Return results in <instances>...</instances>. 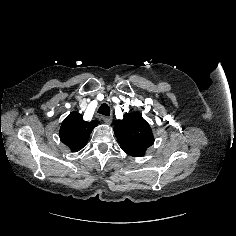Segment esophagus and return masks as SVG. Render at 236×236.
Instances as JSON below:
<instances>
[{
    "instance_id": "esophagus-1",
    "label": "esophagus",
    "mask_w": 236,
    "mask_h": 236,
    "mask_svg": "<svg viewBox=\"0 0 236 236\" xmlns=\"http://www.w3.org/2000/svg\"><path fill=\"white\" fill-rule=\"evenodd\" d=\"M103 120L106 124H111L112 117L111 116H103Z\"/></svg>"
}]
</instances>
